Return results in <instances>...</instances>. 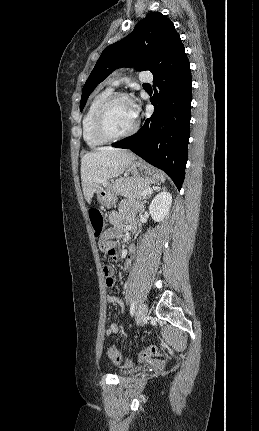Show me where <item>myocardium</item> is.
Listing matches in <instances>:
<instances>
[{"mask_svg": "<svg viewBox=\"0 0 259 431\" xmlns=\"http://www.w3.org/2000/svg\"><path fill=\"white\" fill-rule=\"evenodd\" d=\"M128 95L123 92L112 93L107 96L98 106L93 117V130L95 135L107 142L121 140L135 134L139 129V119L136 117L135 123L131 129L121 134L111 133L106 124L107 114L110 107L120 99H128Z\"/></svg>", "mask_w": 259, "mask_h": 431, "instance_id": "f54148a6", "label": "myocardium"}]
</instances>
